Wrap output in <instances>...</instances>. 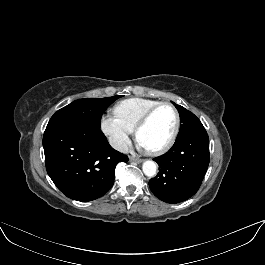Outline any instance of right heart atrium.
<instances>
[{"mask_svg":"<svg viewBox=\"0 0 265 265\" xmlns=\"http://www.w3.org/2000/svg\"><path fill=\"white\" fill-rule=\"evenodd\" d=\"M101 128L116 150L124 151L126 149L133 130L115 114H104L101 118Z\"/></svg>","mask_w":265,"mask_h":265,"instance_id":"obj_1","label":"right heart atrium"}]
</instances>
